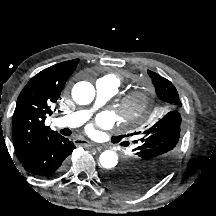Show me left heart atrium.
<instances>
[{
	"label": "left heart atrium",
	"instance_id": "39dd6f15",
	"mask_svg": "<svg viewBox=\"0 0 216 216\" xmlns=\"http://www.w3.org/2000/svg\"><path fill=\"white\" fill-rule=\"evenodd\" d=\"M112 124V118L108 113H103L101 115H99L95 121V125L101 126V127H110ZM88 131L89 132H93L94 131V125H90L88 127Z\"/></svg>",
	"mask_w": 216,
	"mask_h": 216
}]
</instances>
